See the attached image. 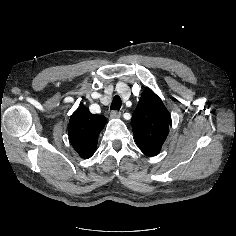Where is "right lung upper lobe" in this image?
I'll list each match as a JSON object with an SVG mask.
<instances>
[{
	"instance_id": "obj_1",
	"label": "right lung upper lobe",
	"mask_w": 236,
	"mask_h": 236,
	"mask_svg": "<svg viewBox=\"0 0 236 236\" xmlns=\"http://www.w3.org/2000/svg\"><path fill=\"white\" fill-rule=\"evenodd\" d=\"M105 124L104 116L91 114L85 106H80L71 115L68 128L70 142L82 158L94 154L99 133Z\"/></svg>"
}]
</instances>
